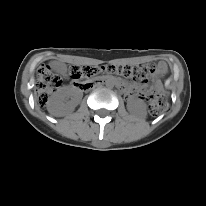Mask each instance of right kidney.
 <instances>
[{
    "instance_id": "ca27d5eb",
    "label": "right kidney",
    "mask_w": 206,
    "mask_h": 206,
    "mask_svg": "<svg viewBox=\"0 0 206 206\" xmlns=\"http://www.w3.org/2000/svg\"><path fill=\"white\" fill-rule=\"evenodd\" d=\"M69 97H72L71 101H68ZM80 98L81 96L78 92L70 89H63L50 99L48 111L56 116H64L74 110Z\"/></svg>"
}]
</instances>
